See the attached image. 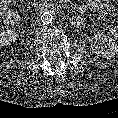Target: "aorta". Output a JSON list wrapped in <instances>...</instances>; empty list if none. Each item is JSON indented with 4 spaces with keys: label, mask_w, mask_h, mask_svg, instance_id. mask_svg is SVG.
Wrapping results in <instances>:
<instances>
[{
    "label": "aorta",
    "mask_w": 118,
    "mask_h": 118,
    "mask_svg": "<svg viewBox=\"0 0 118 118\" xmlns=\"http://www.w3.org/2000/svg\"><path fill=\"white\" fill-rule=\"evenodd\" d=\"M41 22L44 24V25H49L52 23L53 21V15L50 13V12H44L42 15H41V18H40Z\"/></svg>",
    "instance_id": "obj_1"
}]
</instances>
